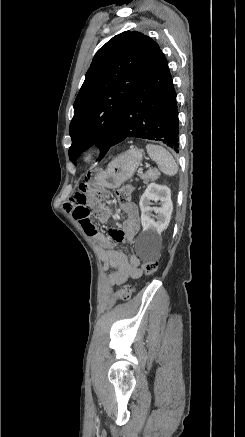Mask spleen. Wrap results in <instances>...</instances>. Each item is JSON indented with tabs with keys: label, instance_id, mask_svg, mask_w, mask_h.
Instances as JSON below:
<instances>
[{
	"label": "spleen",
	"instance_id": "3e777b00",
	"mask_svg": "<svg viewBox=\"0 0 245 437\" xmlns=\"http://www.w3.org/2000/svg\"><path fill=\"white\" fill-rule=\"evenodd\" d=\"M146 149L150 158L157 163L160 171L169 176H173L178 172V164L164 147L155 144H147Z\"/></svg>",
	"mask_w": 245,
	"mask_h": 437
}]
</instances>
